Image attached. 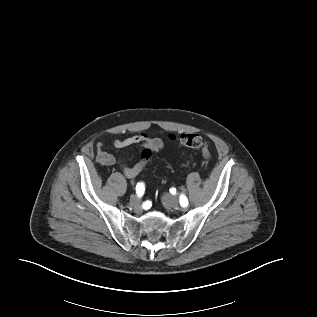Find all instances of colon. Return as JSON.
Instances as JSON below:
<instances>
[{
	"label": "colon",
	"instance_id": "1",
	"mask_svg": "<svg viewBox=\"0 0 317 317\" xmlns=\"http://www.w3.org/2000/svg\"><path fill=\"white\" fill-rule=\"evenodd\" d=\"M174 140H178V142L188 148H199L203 145V139L200 135L196 133H183L179 137H172ZM153 149L150 147H146L142 152H141V162L147 163L152 155H153Z\"/></svg>",
	"mask_w": 317,
	"mask_h": 317
}]
</instances>
